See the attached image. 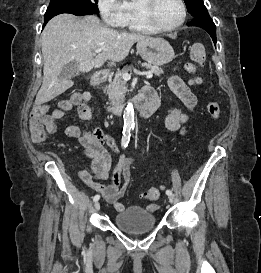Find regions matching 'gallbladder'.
Here are the masks:
<instances>
[{"label":"gallbladder","mask_w":261,"mask_h":273,"mask_svg":"<svg viewBox=\"0 0 261 273\" xmlns=\"http://www.w3.org/2000/svg\"><path fill=\"white\" fill-rule=\"evenodd\" d=\"M79 74L78 71V64L76 62H70L69 64H66L60 74L59 78L60 79H70L72 77H75Z\"/></svg>","instance_id":"bac80fb5"}]
</instances>
